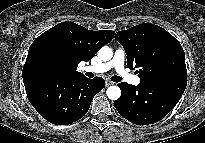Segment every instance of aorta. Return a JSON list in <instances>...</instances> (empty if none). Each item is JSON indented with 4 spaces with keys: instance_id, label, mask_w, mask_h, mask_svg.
Returning a JSON list of instances; mask_svg holds the SVG:
<instances>
[{
    "instance_id": "762f6f07",
    "label": "aorta",
    "mask_w": 205,
    "mask_h": 143,
    "mask_svg": "<svg viewBox=\"0 0 205 143\" xmlns=\"http://www.w3.org/2000/svg\"><path fill=\"white\" fill-rule=\"evenodd\" d=\"M98 55L101 60L109 61L113 56V51L108 46H104L99 50ZM106 94L110 100H117L121 96V90L118 86H110L107 88Z\"/></svg>"
}]
</instances>
